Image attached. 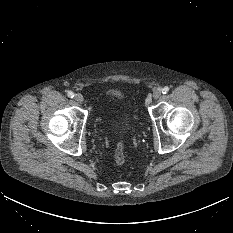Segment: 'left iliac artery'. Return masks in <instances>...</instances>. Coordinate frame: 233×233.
I'll use <instances>...</instances> for the list:
<instances>
[{"instance_id":"obj_1","label":"left iliac artery","mask_w":233,"mask_h":233,"mask_svg":"<svg viewBox=\"0 0 233 233\" xmlns=\"http://www.w3.org/2000/svg\"><path fill=\"white\" fill-rule=\"evenodd\" d=\"M168 91H169V87H167V86H165V87L162 89V93H163V94H166Z\"/></svg>"}]
</instances>
